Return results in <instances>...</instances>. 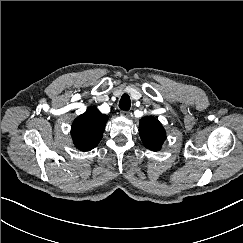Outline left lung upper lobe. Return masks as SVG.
Returning <instances> with one entry per match:
<instances>
[{
	"mask_svg": "<svg viewBox=\"0 0 243 243\" xmlns=\"http://www.w3.org/2000/svg\"><path fill=\"white\" fill-rule=\"evenodd\" d=\"M140 137L146 148L159 151L166 139L165 130L154 117H144L139 123Z\"/></svg>",
	"mask_w": 243,
	"mask_h": 243,
	"instance_id": "left-lung-upper-lobe-1",
	"label": "left lung upper lobe"
}]
</instances>
